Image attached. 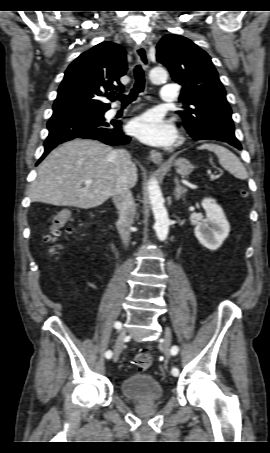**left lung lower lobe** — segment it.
I'll return each instance as SVG.
<instances>
[{"label":"left lung lower lobe","instance_id":"1","mask_svg":"<svg viewBox=\"0 0 270 453\" xmlns=\"http://www.w3.org/2000/svg\"><path fill=\"white\" fill-rule=\"evenodd\" d=\"M189 133V135L194 138L195 140H219V141H223V142H226L232 146H234L235 148H237L238 150H241L242 147H241V144L239 143V141L237 139H223L221 137H218V136H211V135H201V134H196V133H200L198 131H193V130H188L186 129Z\"/></svg>","mask_w":270,"mask_h":453}]
</instances>
